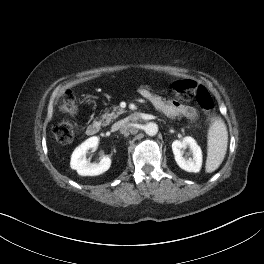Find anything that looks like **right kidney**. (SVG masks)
Instances as JSON below:
<instances>
[{"mask_svg":"<svg viewBox=\"0 0 264 264\" xmlns=\"http://www.w3.org/2000/svg\"><path fill=\"white\" fill-rule=\"evenodd\" d=\"M99 139L94 136L88 138L72 153L70 166L81 176H96L106 172L111 166V159L104 156L99 163H90L86 153L91 148H97Z\"/></svg>","mask_w":264,"mask_h":264,"instance_id":"right-kidney-1","label":"right kidney"}]
</instances>
